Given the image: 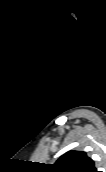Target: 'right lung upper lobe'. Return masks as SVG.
<instances>
[{"label":"right lung upper lobe","instance_id":"right-lung-upper-lobe-1","mask_svg":"<svg viewBox=\"0 0 106 172\" xmlns=\"http://www.w3.org/2000/svg\"><path fill=\"white\" fill-rule=\"evenodd\" d=\"M49 169L52 172H97L94 161L82 151L65 153Z\"/></svg>","mask_w":106,"mask_h":172}]
</instances>
